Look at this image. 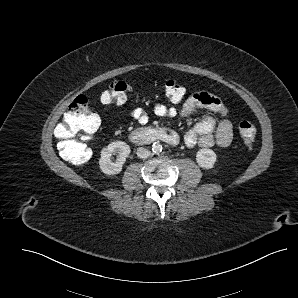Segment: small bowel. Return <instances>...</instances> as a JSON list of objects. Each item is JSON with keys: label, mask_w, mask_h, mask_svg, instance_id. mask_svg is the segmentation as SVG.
Here are the masks:
<instances>
[{"label": "small bowel", "mask_w": 298, "mask_h": 298, "mask_svg": "<svg viewBox=\"0 0 298 298\" xmlns=\"http://www.w3.org/2000/svg\"><path fill=\"white\" fill-rule=\"evenodd\" d=\"M203 109L217 114L220 118L217 120L213 116H206L194 127L185 131L183 138L186 146L190 148L196 145L204 148L229 146L233 138V126L228 118L229 111L218 97L210 93H193L178 107L157 103L153 106V113L159 117L187 118ZM129 117L140 125H146L150 120L149 114L140 107L133 109Z\"/></svg>", "instance_id": "small-bowel-1"}]
</instances>
